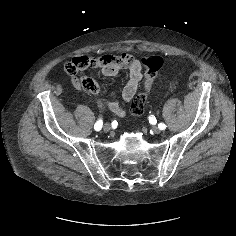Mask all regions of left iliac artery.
I'll use <instances>...</instances> for the list:
<instances>
[{
	"label": "left iliac artery",
	"instance_id": "44dca946",
	"mask_svg": "<svg viewBox=\"0 0 236 236\" xmlns=\"http://www.w3.org/2000/svg\"><path fill=\"white\" fill-rule=\"evenodd\" d=\"M158 127L160 130H165L166 129V125L164 123H159Z\"/></svg>",
	"mask_w": 236,
	"mask_h": 236
}]
</instances>
